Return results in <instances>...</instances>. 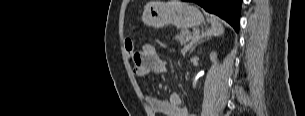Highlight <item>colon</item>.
<instances>
[{
  "instance_id": "obj_1",
  "label": "colon",
  "mask_w": 305,
  "mask_h": 116,
  "mask_svg": "<svg viewBox=\"0 0 305 116\" xmlns=\"http://www.w3.org/2000/svg\"><path fill=\"white\" fill-rule=\"evenodd\" d=\"M125 52L127 54V56L131 59H136L137 54L134 50V38H133V34H130V36L125 40Z\"/></svg>"
}]
</instances>
